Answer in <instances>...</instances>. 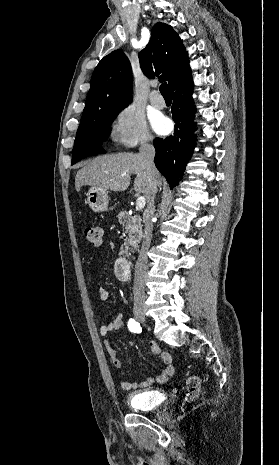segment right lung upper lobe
Returning a JSON list of instances; mask_svg holds the SVG:
<instances>
[{"instance_id":"obj_1","label":"right lung upper lobe","mask_w":279,"mask_h":465,"mask_svg":"<svg viewBox=\"0 0 279 465\" xmlns=\"http://www.w3.org/2000/svg\"><path fill=\"white\" fill-rule=\"evenodd\" d=\"M138 56L143 73L148 77L161 75L160 78L168 81L171 91L191 76L182 41L165 23L155 24L149 43ZM131 94L130 62L118 49L105 56L93 72L80 126L94 121L104 110H122L131 102Z\"/></svg>"}]
</instances>
